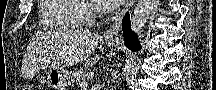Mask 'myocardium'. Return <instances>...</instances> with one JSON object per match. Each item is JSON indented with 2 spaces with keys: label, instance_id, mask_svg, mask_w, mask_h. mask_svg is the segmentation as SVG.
<instances>
[{
  "label": "myocardium",
  "instance_id": "1",
  "mask_svg": "<svg viewBox=\"0 0 216 90\" xmlns=\"http://www.w3.org/2000/svg\"><path fill=\"white\" fill-rule=\"evenodd\" d=\"M92 11L100 13L104 10L105 8H102L100 5L96 3V1H83Z\"/></svg>",
  "mask_w": 216,
  "mask_h": 90
}]
</instances>
